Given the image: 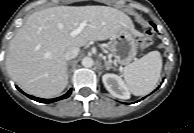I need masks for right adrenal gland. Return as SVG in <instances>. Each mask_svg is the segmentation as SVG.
I'll use <instances>...</instances> for the list:
<instances>
[{"instance_id": "2a0ac1e0", "label": "right adrenal gland", "mask_w": 194, "mask_h": 133, "mask_svg": "<svg viewBox=\"0 0 194 133\" xmlns=\"http://www.w3.org/2000/svg\"><path fill=\"white\" fill-rule=\"evenodd\" d=\"M70 62H67V69H68V65H69Z\"/></svg>"}]
</instances>
